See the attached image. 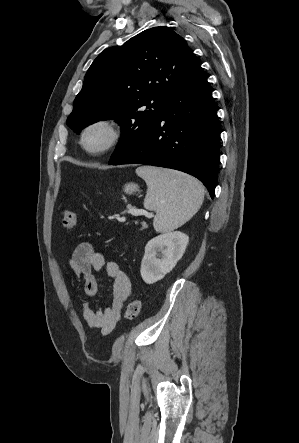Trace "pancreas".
I'll return each mask as SVG.
<instances>
[{
	"mask_svg": "<svg viewBox=\"0 0 299 443\" xmlns=\"http://www.w3.org/2000/svg\"><path fill=\"white\" fill-rule=\"evenodd\" d=\"M142 224H143V229L147 227V224L145 222H143Z\"/></svg>",
	"mask_w": 299,
	"mask_h": 443,
	"instance_id": "obj_1",
	"label": "pancreas"
}]
</instances>
